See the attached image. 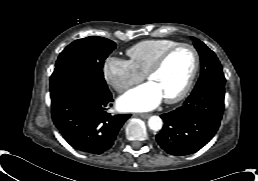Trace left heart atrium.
Instances as JSON below:
<instances>
[{
	"mask_svg": "<svg viewBox=\"0 0 258 181\" xmlns=\"http://www.w3.org/2000/svg\"><path fill=\"white\" fill-rule=\"evenodd\" d=\"M162 99L159 89L149 81L121 96L118 107L123 111L144 112L154 109Z\"/></svg>",
	"mask_w": 258,
	"mask_h": 181,
	"instance_id": "1",
	"label": "left heart atrium"
}]
</instances>
